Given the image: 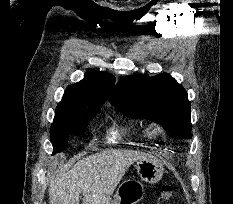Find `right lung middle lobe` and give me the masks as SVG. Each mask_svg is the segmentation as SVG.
Returning a JSON list of instances; mask_svg holds the SVG:
<instances>
[{"label":"right lung middle lobe","mask_w":233,"mask_h":204,"mask_svg":"<svg viewBox=\"0 0 233 204\" xmlns=\"http://www.w3.org/2000/svg\"><path fill=\"white\" fill-rule=\"evenodd\" d=\"M97 112L88 114L71 121H67L58 127H51L50 135L53 145V153L62 151L67 145V139L70 134H83L88 126L90 120L94 118Z\"/></svg>","instance_id":"dd1d6c3e"}]
</instances>
